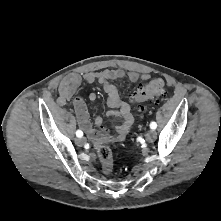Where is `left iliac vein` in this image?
I'll list each match as a JSON object with an SVG mask.
<instances>
[{"label":"left iliac vein","instance_id":"4c4485c4","mask_svg":"<svg viewBox=\"0 0 221 221\" xmlns=\"http://www.w3.org/2000/svg\"><path fill=\"white\" fill-rule=\"evenodd\" d=\"M157 133L154 130H149L146 135H145V139L147 142L151 143L156 139Z\"/></svg>","mask_w":221,"mask_h":221}]
</instances>
